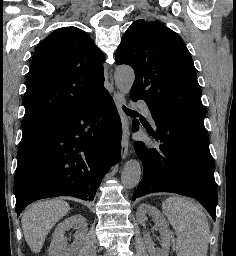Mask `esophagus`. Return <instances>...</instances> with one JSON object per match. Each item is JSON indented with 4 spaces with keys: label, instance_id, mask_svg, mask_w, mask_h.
I'll return each instance as SVG.
<instances>
[{
    "label": "esophagus",
    "instance_id": "1",
    "mask_svg": "<svg viewBox=\"0 0 236 256\" xmlns=\"http://www.w3.org/2000/svg\"><path fill=\"white\" fill-rule=\"evenodd\" d=\"M113 99L122 123L121 157L124 160L128 155L130 138L129 121L122 109V105L125 102L123 95L119 91H114Z\"/></svg>",
    "mask_w": 236,
    "mask_h": 256
}]
</instances>
